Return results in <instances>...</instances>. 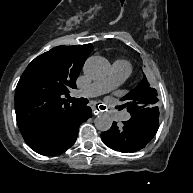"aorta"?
Wrapping results in <instances>:
<instances>
[{
	"instance_id": "obj_1",
	"label": "aorta",
	"mask_w": 193,
	"mask_h": 193,
	"mask_svg": "<svg viewBox=\"0 0 193 193\" xmlns=\"http://www.w3.org/2000/svg\"><path fill=\"white\" fill-rule=\"evenodd\" d=\"M108 71L109 64L101 57L89 58L84 65V72L93 79L104 78ZM94 124L97 130L105 132L111 128L112 119L108 114L102 113L95 118Z\"/></svg>"
}]
</instances>
